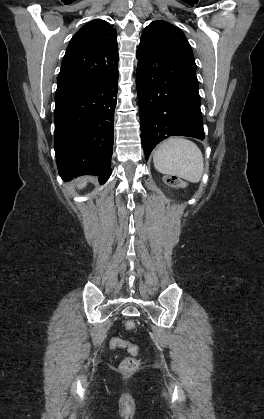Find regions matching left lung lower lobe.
Here are the masks:
<instances>
[{
    "label": "left lung lower lobe",
    "instance_id": "left-lung-lower-lobe-1",
    "mask_svg": "<svg viewBox=\"0 0 264 419\" xmlns=\"http://www.w3.org/2000/svg\"><path fill=\"white\" fill-rule=\"evenodd\" d=\"M166 43L153 41L137 50V92L141 141L148 160L169 136L204 139L197 77L165 64Z\"/></svg>",
    "mask_w": 264,
    "mask_h": 419
}]
</instances>
